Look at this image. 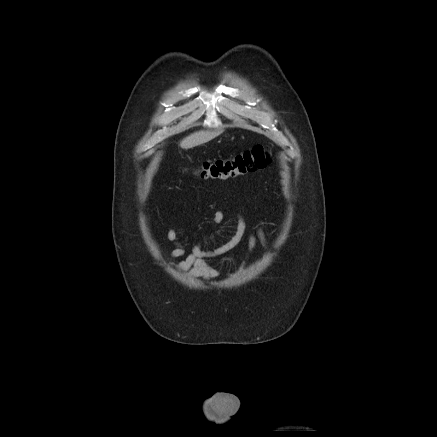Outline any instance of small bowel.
<instances>
[{
	"mask_svg": "<svg viewBox=\"0 0 437 437\" xmlns=\"http://www.w3.org/2000/svg\"><path fill=\"white\" fill-rule=\"evenodd\" d=\"M224 220V214L222 211H216L212 218V225L217 226ZM246 231V223L244 218L239 215L237 218L236 229L233 236L223 245L206 250L203 248L201 242L195 244L191 252L182 260L178 262H169V265L176 270L183 272L191 277L202 278L204 280L217 279L223 276V274L213 266H211L206 260L221 256L228 251L235 248L242 240ZM167 239L173 243L174 247L169 250V256L171 258H181L185 256L186 250L183 244L180 242L177 232L174 229H168L166 232ZM261 243L264 247L267 246V238L262 229H257L250 234L247 241L248 252H252L257 243ZM247 260H243L239 268L232 273L226 274L229 277H235L241 274L246 266Z\"/></svg>",
	"mask_w": 437,
	"mask_h": 437,
	"instance_id": "obj_1",
	"label": "small bowel"
}]
</instances>
